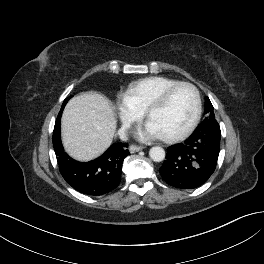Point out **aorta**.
Returning <instances> with one entry per match:
<instances>
[{"mask_svg":"<svg viewBox=\"0 0 264 264\" xmlns=\"http://www.w3.org/2000/svg\"><path fill=\"white\" fill-rule=\"evenodd\" d=\"M150 158L155 162H161L165 159V150L162 147L154 146L149 151Z\"/></svg>","mask_w":264,"mask_h":264,"instance_id":"762f6f07","label":"aorta"}]
</instances>
